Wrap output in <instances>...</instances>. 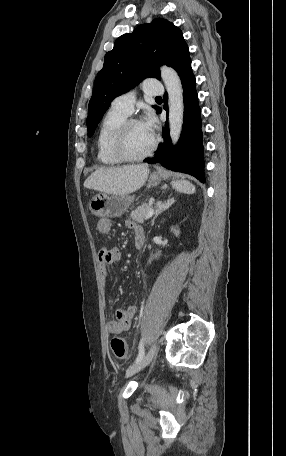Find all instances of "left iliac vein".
<instances>
[{
    "label": "left iliac vein",
    "mask_w": 286,
    "mask_h": 456,
    "mask_svg": "<svg viewBox=\"0 0 286 456\" xmlns=\"http://www.w3.org/2000/svg\"><path fill=\"white\" fill-rule=\"evenodd\" d=\"M156 351L157 345L153 344L141 361L128 367V369L126 370V377H131L134 374L141 371L142 369H144L152 361Z\"/></svg>",
    "instance_id": "left-iliac-vein-1"
}]
</instances>
